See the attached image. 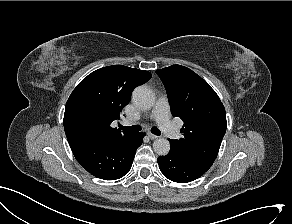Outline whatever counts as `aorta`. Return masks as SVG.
<instances>
[{
    "label": "aorta",
    "mask_w": 292,
    "mask_h": 224,
    "mask_svg": "<svg viewBox=\"0 0 292 224\" xmlns=\"http://www.w3.org/2000/svg\"><path fill=\"white\" fill-rule=\"evenodd\" d=\"M134 104L142 109H151L155 104L154 93L146 86H139L133 91ZM153 150L160 156L167 155L170 151V143L167 139L158 138L153 142Z\"/></svg>",
    "instance_id": "aorta-1"
}]
</instances>
